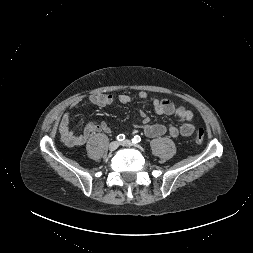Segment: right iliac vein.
Here are the masks:
<instances>
[{
    "instance_id": "63e3f726",
    "label": "right iliac vein",
    "mask_w": 253,
    "mask_h": 253,
    "mask_svg": "<svg viewBox=\"0 0 253 253\" xmlns=\"http://www.w3.org/2000/svg\"><path fill=\"white\" fill-rule=\"evenodd\" d=\"M118 146H119V143H118L117 141H113V142H111V143L109 144V149H110L111 151H114V150H116V149L118 148Z\"/></svg>"
}]
</instances>
